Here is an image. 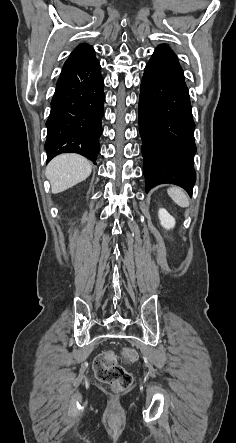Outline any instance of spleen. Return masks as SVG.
<instances>
[{
    "mask_svg": "<svg viewBox=\"0 0 236 443\" xmlns=\"http://www.w3.org/2000/svg\"><path fill=\"white\" fill-rule=\"evenodd\" d=\"M170 198L180 207L186 208L189 206L187 195L178 187H170L167 190Z\"/></svg>",
    "mask_w": 236,
    "mask_h": 443,
    "instance_id": "1",
    "label": "spleen"
}]
</instances>
